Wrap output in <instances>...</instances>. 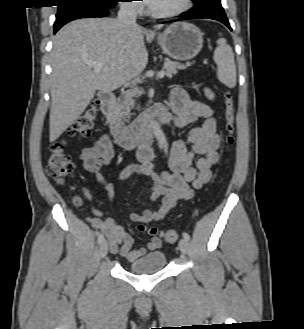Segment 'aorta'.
<instances>
[{"label": "aorta", "mask_w": 304, "mask_h": 329, "mask_svg": "<svg viewBox=\"0 0 304 329\" xmlns=\"http://www.w3.org/2000/svg\"><path fill=\"white\" fill-rule=\"evenodd\" d=\"M151 126L153 129L154 136L157 140L158 146L160 149H165L166 147V138L165 135L156 121L151 122Z\"/></svg>", "instance_id": "1"}]
</instances>
